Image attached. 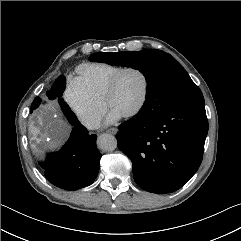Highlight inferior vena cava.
<instances>
[{
	"instance_id": "602c4592",
	"label": "inferior vena cava",
	"mask_w": 241,
	"mask_h": 241,
	"mask_svg": "<svg viewBox=\"0 0 241 241\" xmlns=\"http://www.w3.org/2000/svg\"><path fill=\"white\" fill-rule=\"evenodd\" d=\"M100 125V122L98 120L92 121L88 123V128L93 129V128H98Z\"/></svg>"
}]
</instances>
